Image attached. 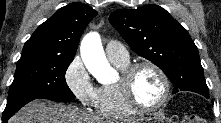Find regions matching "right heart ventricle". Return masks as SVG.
I'll return each mask as SVG.
<instances>
[{
	"label": "right heart ventricle",
	"instance_id": "1",
	"mask_svg": "<svg viewBox=\"0 0 221 123\" xmlns=\"http://www.w3.org/2000/svg\"><path fill=\"white\" fill-rule=\"evenodd\" d=\"M120 71L129 66L127 63L112 62ZM99 115L111 119H125L136 115L122 97L117 82L104 84L98 88V97L95 105Z\"/></svg>",
	"mask_w": 221,
	"mask_h": 123
}]
</instances>
